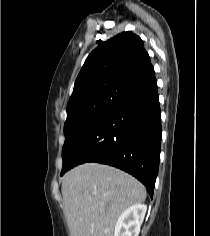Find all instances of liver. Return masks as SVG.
<instances>
[{
    "label": "liver",
    "mask_w": 210,
    "mask_h": 236,
    "mask_svg": "<svg viewBox=\"0 0 210 236\" xmlns=\"http://www.w3.org/2000/svg\"><path fill=\"white\" fill-rule=\"evenodd\" d=\"M61 191L71 236H113L122 212L146 199L145 187L134 177L98 163L66 173Z\"/></svg>",
    "instance_id": "liver-1"
}]
</instances>
